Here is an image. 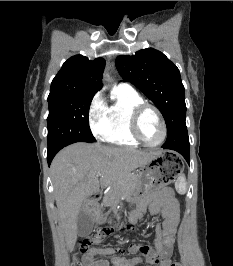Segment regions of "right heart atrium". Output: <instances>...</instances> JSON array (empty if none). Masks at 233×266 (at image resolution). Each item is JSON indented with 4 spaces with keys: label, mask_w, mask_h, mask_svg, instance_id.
<instances>
[{
    "label": "right heart atrium",
    "mask_w": 233,
    "mask_h": 266,
    "mask_svg": "<svg viewBox=\"0 0 233 266\" xmlns=\"http://www.w3.org/2000/svg\"><path fill=\"white\" fill-rule=\"evenodd\" d=\"M88 122L93 135L103 138L107 131L106 104L100 92L95 94L90 103Z\"/></svg>",
    "instance_id": "obj_1"
}]
</instances>
